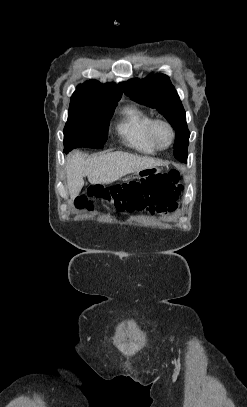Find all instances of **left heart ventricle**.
Returning <instances> with one entry per match:
<instances>
[{"label": "left heart ventricle", "mask_w": 247, "mask_h": 407, "mask_svg": "<svg viewBox=\"0 0 247 407\" xmlns=\"http://www.w3.org/2000/svg\"><path fill=\"white\" fill-rule=\"evenodd\" d=\"M157 139L162 146H167L170 142V133L164 126H160L157 129Z\"/></svg>", "instance_id": "left-heart-ventricle-1"}]
</instances>
